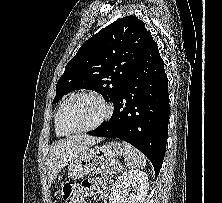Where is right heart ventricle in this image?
I'll return each mask as SVG.
<instances>
[{
  "label": "right heart ventricle",
  "instance_id": "obj_1",
  "mask_svg": "<svg viewBox=\"0 0 222 203\" xmlns=\"http://www.w3.org/2000/svg\"><path fill=\"white\" fill-rule=\"evenodd\" d=\"M63 104V103H62ZM62 104L58 107L57 111H56V114H55V118H54V125H55V133L57 136H65L67 135L68 133L64 132L60 127H59V124H58V114H59V110L62 106Z\"/></svg>",
  "mask_w": 222,
  "mask_h": 203
}]
</instances>
